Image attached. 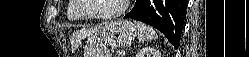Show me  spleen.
Segmentation results:
<instances>
[{
  "label": "spleen",
  "instance_id": "1",
  "mask_svg": "<svg viewBox=\"0 0 249 57\" xmlns=\"http://www.w3.org/2000/svg\"><path fill=\"white\" fill-rule=\"evenodd\" d=\"M134 26L138 30L139 42L150 41L157 38V33L152 27L136 20L134 21Z\"/></svg>",
  "mask_w": 249,
  "mask_h": 57
}]
</instances>
